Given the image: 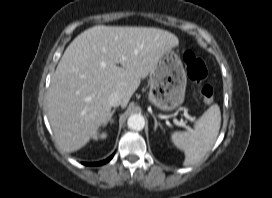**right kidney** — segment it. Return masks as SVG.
I'll use <instances>...</instances> for the list:
<instances>
[{
	"mask_svg": "<svg viewBox=\"0 0 272 198\" xmlns=\"http://www.w3.org/2000/svg\"><path fill=\"white\" fill-rule=\"evenodd\" d=\"M107 137V133L103 132L101 134H98L97 132L94 133L93 139L98 140V139H105Z\"/></svg>",
	"mask_w": 272,
	"mask_h": 198,
	"instance_id": "obj_1",
	"label": "right kidney"
}]
</instances>
